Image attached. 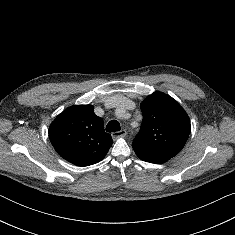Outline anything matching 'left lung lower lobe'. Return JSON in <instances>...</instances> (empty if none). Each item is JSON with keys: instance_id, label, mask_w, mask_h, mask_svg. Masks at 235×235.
<instances>
[{"instance_id": "left-lung-lower-lobe-1", "label": "left lung lower lobe", "mask_w": 235, "mask_h": 235, "mask_svg": "<svg viewBox=\"0 0 235 235\" xmlns=\"http://www.w3.org/2000/svg\"><path fill=\"white\" fill-rule=\"evenodd\" d=\"M139 158L143 161L150 162V163H157V164L164 163L167 161V160H164L161 158H152V157H148V158L147 157H139Z\"/></svg>"}]
</instances>
